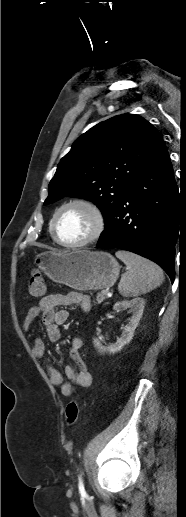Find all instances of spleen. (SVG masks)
Returning a JSON list of instances; mask_svg holds the SVG:
<instances>
[{"instance_id":"1","label":"spleen","mask_w":186,"mask_h":517,"mask_svg":"<svg viewBox=\"0 0 186 517\" xmlns=\"http://www.w3.org/2000/svg\"><path fill=\"white\" fill-rule=\"evenodd\" d=\"M116 257L127 266V272L118 284L123 297H136L146 294L164 281V274L155 263L127 251H117Z\"/></svg>"}]
</instances>
